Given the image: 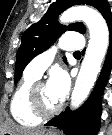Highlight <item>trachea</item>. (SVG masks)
Returning a JSON list of instances; mask_svg holds the SVG:
<instances>
[{
	"mask_svg": "<svg viewBox=\"0 0 112 135\" xmlns=\"http://www.w3.org/2000/svg\"><path fill=\"white\" fill-rule=\"evenodd\" d=\"M74 54H75V55H79V54H80V52H79V51H76V52H74Z\"/></svg>",
	"mask_w": 112,
	"mask_h": 135,
	"instance_id": "1",
	"label": "trachea"
}]
</instances>
